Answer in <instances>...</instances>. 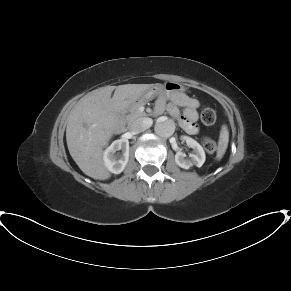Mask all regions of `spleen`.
I'll use <instances>...</instances> for the list:
<instances>
[{"label": "spleen", "instance_id": "obj_1", "mask_svg": "<svg viewBox=\"0 0 291 291\" xmlns=\"http://www.w3.org/2000/svg\"><path fill=\"white\" fill-rule=\"evenodd\" d=\"M229 142V131L227 125H222L219 135V141H218V148H217V154L216 159L217 161H220L228 147Z\"/></svg>", "mask_w": 291, "mask_h": 291}]
</instances>
